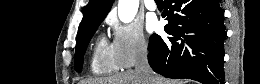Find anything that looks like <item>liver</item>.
Masks as SVG:
<instances>
[{
  "label": "liver",
  "mask_w": 260,
  "mask_h": 84,
  "mask_svg": "<svg viewBox=\"0 0 260 84\" xmlns=\"http://www.w3.org/2000/svg\"><path fill=\"white\" fill-rule=\"evenodd\" d=\"M154 84H187L186 80H170L164 77L155 75ZM82 84H146L144 76L135 70H128L124 73L114 75L112 77L93 79L83 81Z\"/></svg>",
  "instance_id": "6515ba94"
}]
</instances>
